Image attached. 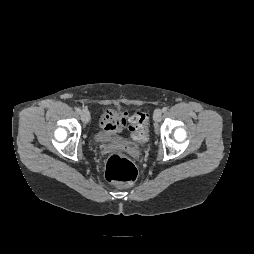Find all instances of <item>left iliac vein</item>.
Instances as JSON below:
<instances>
[{"label":"left iliac vein","mask_w":254,"mask_h":254,"mask_svg":"<svg viewBox=\"0 0 254 254\" xmlns=\"http://www.w3.org/2000/svg\"><path fill=\"white\" fill-rule=\"evenodd\" d=\"M154 121L155 122H160L161 118H162V112L161 110L157 109L155 112H154Z\"/></svg>","instance_id":"obj_1"}]
</instances>
